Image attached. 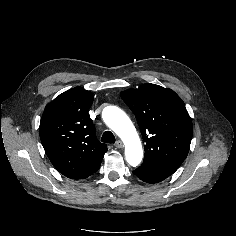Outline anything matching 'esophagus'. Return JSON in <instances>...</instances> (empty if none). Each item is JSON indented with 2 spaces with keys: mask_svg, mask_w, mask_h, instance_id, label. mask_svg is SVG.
I'll list each match as a JSON object with an SVG mask.
<instances>
[{
  "mask_svg": "<svg viewBox=\"0 0 236 236\" xmlns=\"http://www.w3.org/2000/svg\"><path fill=\"white\" fill-rule=\"evenodd\" d=\"M114 146L116 147V148H123V143H122V141H120V140H118L115 144H114Z\"/></svg>",
  "mask_w": 236,
  "mask_h": 236,
  "instance_id": "34e87169",
  "label": "esophagus"
}]
</instances>
